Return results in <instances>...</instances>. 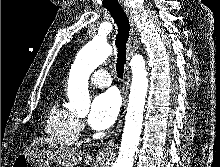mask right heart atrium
Instances as JSON below:
<instances>
[{"label":"right heart atrium","instance_id":"1","mask_svg":"<svg viewBox=\"0 0 220 167\" xmlns=\"http://www.w3.org/2000/svg\"><path fill=\"white\" fill-rule=\"evenodd\" d=\"M77 121H78L79 130L82 131L84 129V124L79 120H77Z\"/></svg>","mask_w":220,"mask_h":167}]
</instances>
